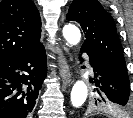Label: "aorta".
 Segmentation results:
<instances>
[{"label":"aorta","mask_w":133,"mask_h":118,"mask_svg":"<svg viewBox=\"0 0 133 118\" xmlns=\"http://www.w3.org/2000/svg\"><path fill=\"white\" fill-rule=\"evenodd\" d=\"M63 36L71 45H77L81 39V33L78 27L73 24H68L63 28ZM88 95V88L84 81H77L71 91V104L73 107H81Z\"/></svg>","instance_id":"1"}]
</instances>
